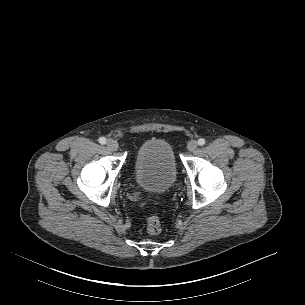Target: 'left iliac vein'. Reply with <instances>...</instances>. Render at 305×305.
<instances>
[{
    "mask_svg": "<svg viewBox=\"0 0 305 305\" xmlns=\"http://www.w3.org/2000/svg\"><path fill=\"white\" fill-rule=\"evenodd\" d=\"M197 146H198L197 141L191 140V141H189V143L187 145V149H188V151L192 152L197 148Z\"/></svg>",
    "mask_w": 305,
    "mask_h": 305,
    "instance_id": "4c4485c4",
    "label": "left iliac vein"
}]
</instances>
